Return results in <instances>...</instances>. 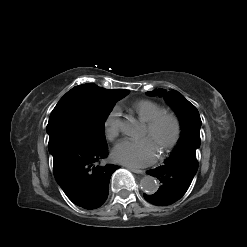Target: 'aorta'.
<instances>
[{"label":"aorta","instance_id":"762f6f07","mask_svg":"<svg viewBox=\"0 0 247 247\" xmlns=\"http://www.w3.org/2000/svg\"><path fill=\"white\" fill-rule=\"evenodd\" d=\"M121 131L129 137H136L140 132V124L135 119H128L121 123ZM141 189L147 194H154L159 188L155 177L146 175L140 181Z\"/></svg>","mask_w":247,"mask_h":247}]
</instances>
